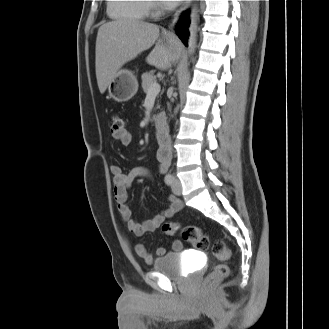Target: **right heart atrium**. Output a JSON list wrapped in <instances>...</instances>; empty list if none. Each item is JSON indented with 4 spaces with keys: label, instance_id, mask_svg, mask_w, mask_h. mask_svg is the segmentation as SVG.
Listing matches in <instances>:
<instances>
[{
    "label": "right heart atrium",
    "instance_id": "obj_1",
    "mask_svg": "<svg viewBox=\"0 0 329 329\" xmlns=\"http://www.w3.org/2000/svg\"><path fill=\"white\" fill-rule=\"evenodd\" d=\"M153 9L155 11H158V10L162 9V6L160 4H158V3H155Z\"/></svg>",
    "mask_w": 329,
    "mask_h": 329
}]
</instances>
